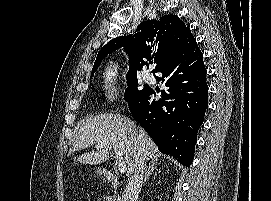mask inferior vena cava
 <instances>
[{
	"mask_svg": "<svg viewBox=\"0 0 271 201\" xmlns=\"http://www.w3.org/2000/svg\"><path fill=\"white\" fill-rule=\"evenodd\" d=\"M138 138L141 142L145 141L146 134L142 129L138 131ZM147 157L144 153L139 154L134 165V169L130 174L124 193L122 195V201H138L139 194L142 188L143 175L146 168Z\"/></svg>",
	"mask_w": 271,
	"mask_h": 201,
	"instance_id": "1",
	"label": "inferior vena cava"
}]
</instances>
